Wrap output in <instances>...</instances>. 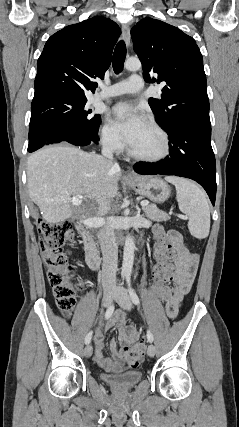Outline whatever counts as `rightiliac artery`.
<instances>
[{
    "label": "right iliac artery",
    "mask_w": 239,
    "mask_h": 427,
    "mask_svg": "<svg viewBox=\"0 0 239 427\" xmlns=\"http://www.w3.org/2000/svg\"><path fill=\"white\" fill-rule=\"evenodd\" d=\"M113 311H114V305H110V306L108 307V309L106 310V313H105V319L110 318V317H111V315L113 314ZM91 338H92V331H91V332H89V333L86 335V337H85V344H89V343H90V341H91Z\"/></svg>",
    "instance_id": "obj_1"
}]
</instances>
